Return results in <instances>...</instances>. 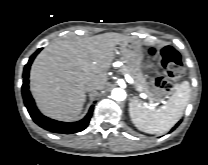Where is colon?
<instances>
[{"label": "colon", "instance_id": "1", "mask_svg": "<svg viewBox=\"0 0 208 165\" xmlns=\"http://www.w3.org/2000/svg\"><path fill=\"white\" fill-rule=\"evenodd\" d=\"M147 55L151 64L158 59V72L153 76L151 82L155 93L163 96L170 91L172 79L182 73L181 56L172 46H166L160 52L150 49Z\"/></svg>", "mask_w": 208, "mask_h": 165}]
</instances>
